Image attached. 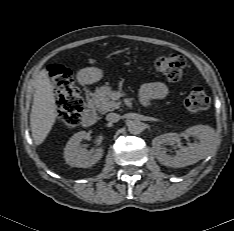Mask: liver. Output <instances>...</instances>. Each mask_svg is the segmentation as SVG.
Returning a JSON list of instances; mask_svg holds the SVG:
<instances>
[{"label": "liver", "mask_w": 234, "mask_h": 231, "mask_svg": "<svg viewBox=\"0 0 234 231\" xmlns=\"http://www.w3.org/2000/svg\"><path fill=\"white\" fill-rule=\"evenodd\" d=\"M34 88L30 127L34 143L40 145L48 136L57 118L54 90L46 69L39 72Z\"/></svg>", "instance_id": "6515ba94"}]
</instances>
